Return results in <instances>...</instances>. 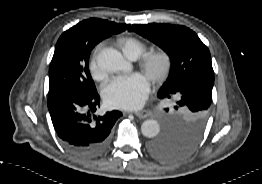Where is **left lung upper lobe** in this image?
I'll return each instance as SVG.
<instances>
[{
    "label": "left lung upper lobe",
    "mask_w": 262,
    "mask_h": 184,
    "mask_svg": "<svg viewBox=\"0 0 262 184\" xmlns=\"http://www.w3.org/2000/svg\"><path fill=\"white\" fill-rule=\"evenodd\" d=\"M130 29L173 55L172 72L158 96L161 99L174 95L180 98L174 108L184 112L187 138L197 142L207 124L212 103L214 71L208 48L194 31L180 25L135 24Z\"/></svg>",
    "instance_id": "left-lung-upper-lobe-1"
}]
</instances>
